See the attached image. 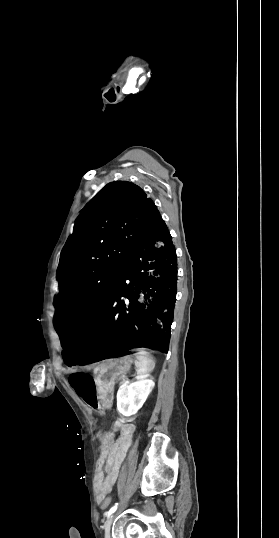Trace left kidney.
Returning a JSON list of instances; mask_svg holds the SVG:
<instances>
[{
  "mask_svg": "<svg viewBox=\"0 0 279 538\" xmlns=\"http://www.w3.org/2000/svg\"><path fill=\"white\" fill-rule=\"evenodd\" d=\"M138 382L122 384L117 392V410L122 416H134L142 408L155 384L147 376H137Z\"/></svg>",
  "mask_w": 279,
  "mask_h": 538,
  "instance_id": "5707ae66",
  "label": "left kidney"
}]
</instances>
